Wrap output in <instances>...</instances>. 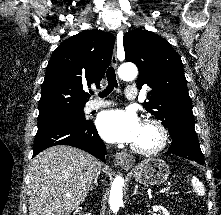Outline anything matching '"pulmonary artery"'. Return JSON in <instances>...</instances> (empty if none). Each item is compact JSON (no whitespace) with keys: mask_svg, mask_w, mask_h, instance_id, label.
<instances>
[{"mask_svg":"<svg viewBox=\"0 0 221 215\" xmlns=\"http://www.w3.org/2000/svg\"><path fill=\"white\" fill-rule=\"evenodd\" d=\"M137 94L138 92L135 86H128L126 88L125 95L127 99L133 100L137 97ZM111 104H112L111 102L105 101V100H92L88 103L87 108L89 111H92V110H96L99 108L110 106Z\"/></svg>","mask_w":221,"mask_h":215,"instance_id":"obj_1","label":"pulmonary artery"}]
</instances>
